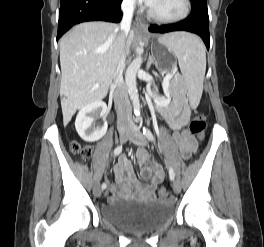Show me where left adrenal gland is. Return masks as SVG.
Returning a JSON list of instances; mask_svg holds the SVG:
<instances>
[{
    "mask_svg": "<svg viewBox=\"0 0 264 247\" xmlns=\"http://www.w3.org/2000/svg\"><path fill=\"white\" fill-rule=\"evenodd\" d=\"M152 63H154L153 55H151V56L149 57V61H148V64H147V69H149V67H150V65H151Z\"/></svg>",
    "mask_w": 264,
    "mask_h": 247,
    "instance_id": "obj_1",
    "label": "left adrenal gland"
}]
</instances>
